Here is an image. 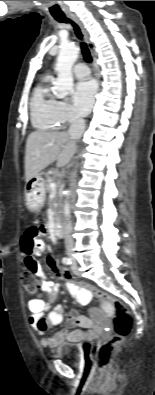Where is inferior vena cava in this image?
Masks as SVG:
<instances>
[{
  "instance_id": "602c4592",
  "label": "inferior vena cava",
  "mask_w": 155,
  "mask_h": 395,
  "mask_svg": "<svg viewBox=\"0 0 155 395\" xmlns=\"http://www.w3.org/2000/svg\"><path fill=\"white\" fill-rule=\"evenodd\" d=\"M70 128L68 134L74 140H79L85 130V120L79 115H73L70 121ZM65 232V246L68 254H72L74 242L72 238L71 222H67L64 227Z\"/></svg>"
}]
</instances>
